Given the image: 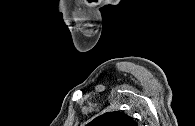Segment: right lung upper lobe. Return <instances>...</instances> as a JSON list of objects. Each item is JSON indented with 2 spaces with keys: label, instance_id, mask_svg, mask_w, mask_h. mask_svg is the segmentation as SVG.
I'll use <instances>...</instances> for the list:
<instances>
[{
  "label": "right lung upper lobe",
  "instance_id": "cb5924a9",
  "mask_svg": "<svg viewBox=\"0 0 195 126\" xmlns=\"http://www.w3.org/2000/svg\"><path fill=\"white\" fill-rule=\"evenodd\" d=\"M86 126H137V124L127 114L114 111L98 116Z\"/></svg>",
  "mask_w": 195,
  "mask_h": 126
}]
</instances>
